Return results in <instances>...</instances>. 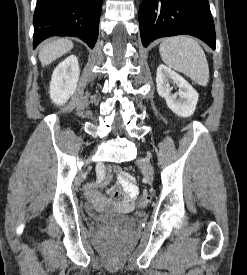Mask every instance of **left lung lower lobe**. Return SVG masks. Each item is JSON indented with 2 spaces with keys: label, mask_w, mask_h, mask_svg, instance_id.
<instances>
[{
  "label": "left lung lower lobe",
  "mask_w": 247,
  "mask_h": 275,
  "mask_svg": "<svg viewBox=\"0 0 247 275\" xmlns=\"http://www.w3.org/2000/svg\"><path fill=\"white\" fill-rule=\"evenodd\" d=\"M142 44L188 34L215 49V27L208 0H145L139 8Z\"/></svg>",
  "instance_id": "left-lung-lower-lobe-1"
}]
</instances>
